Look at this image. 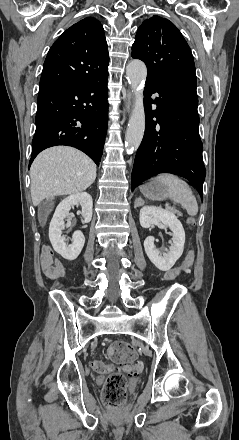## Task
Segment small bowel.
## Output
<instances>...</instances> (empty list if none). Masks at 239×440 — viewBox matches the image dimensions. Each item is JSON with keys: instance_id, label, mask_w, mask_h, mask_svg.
<instances>
[{"instance_id": "1", "label": "small bowel", "mask_w": 239, "mask_h": 440, "mask_svg": "<svg viewBox=\"0 0 239 440\" xmlns=\"http://www.w3.org/2000/svg\"><path fill=\"white\" fill-rule=\"evenodd\" d=\"M41 265L45 275L52 280L63 278L65 276V269L62 262L59 258L54 256L50 247H44L42 249Z\"/></svg>"}]
</instances>
